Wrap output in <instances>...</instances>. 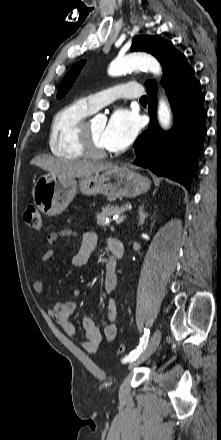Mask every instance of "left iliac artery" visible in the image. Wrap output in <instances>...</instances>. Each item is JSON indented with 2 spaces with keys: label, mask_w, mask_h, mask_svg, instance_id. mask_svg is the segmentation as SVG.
<instances>
[{
  "label": "left iliac artery",
  "mask_w": 221,
  "mask_h": 440,
  "mask_svg": "<svg viewBox=\"0 0 221 440\" xmlns=\"http://www.w3.org/2000/svg\"><path fill=\"white\" fill-rule=\"evenodd\" d=\"M150 330L145 329V333L143 337L140 339V344L136 350L132 351L128 356L123 359L124 363L133 362L140 355L142 350L146 347L148 339H149Z\"/></svg>",
  "instance_id": "left-iliac-artery-1"
}]
</instances>
